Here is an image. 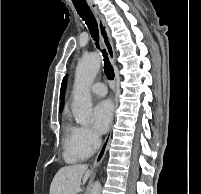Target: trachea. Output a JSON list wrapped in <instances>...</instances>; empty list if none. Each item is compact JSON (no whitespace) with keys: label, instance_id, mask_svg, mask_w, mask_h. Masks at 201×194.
Returning <instances> with one entry per match:
<instances>
[{"label":"trachea","instance_id":"3493384b","mask_svg":"<svg viewBox=\"0 0 201 194\" xmlns=\"http://www.w3.org/2000/svg\"><path fill=\"white\" fill-rule=\"evenodd\" d=\"M76 11L78 12V14L80 15V17L85 21V23L87 24L90 34L92 36V38L95 40V44L97 46V48H99V33H98V26H97V22L96 19L92 13V11L90 10L89 6L87 5L86 2H73ZM102 54L104 57V71H105V75L107 76V78L109 80L114 79V70L113 67L109 61V58L107 56L106 50L103 49L102 50Z\"/></svg>","mask_w":201,"mask_h":194}]
</instances>
